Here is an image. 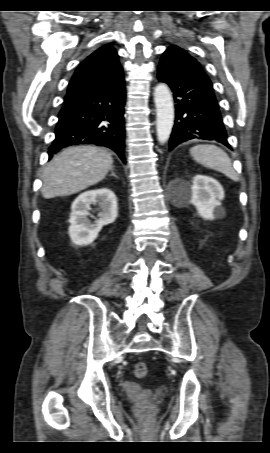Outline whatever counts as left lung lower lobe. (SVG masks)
<instances>
[{"label":"left lung lower lobe","instance_id":"1","mask_svg":"<svg viewBox=\"0 0 270 453\" xmlns=\"http://www.w3.org/2000/svg\"><path fill=\"white\" fill-rule=\"evenodd\" d=\"M158 78L172 88L176 103L169 151L191 139L215 140L231 149L212 83L197 64L182 57L164 56Z\"/></svg>","mask_w":270,"mask_h":453}]
</instances>
